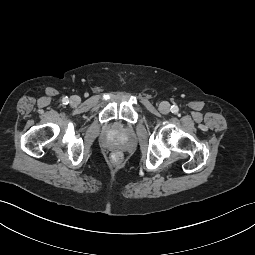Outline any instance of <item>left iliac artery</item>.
<instances>
[{
  "label": "left iliac artery",
  "instance_id": "1",
  "mask_svg": "<svg viewBox=\"0 0 255 255\" xmlns=\"http://www.w3.org/2000/svg\"><path fill=\"white\" fill-rule=\"evenodd\" d=\"M170 110L172 113H177L179 111V108L177 105H172Z\"/></svg>",
  "mask_w": 255,
  "mask_h": 255
}]
</instances>
